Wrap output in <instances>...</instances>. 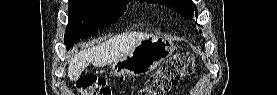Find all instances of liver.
I'll return each mask as SVG.
<instances>
[{
  "instance_id": "6515ba94",
  "label": "liver",
  "mask_w": 277,
  "mask_h": 95,
  "mask_svg": "<svg viewBox=\"0 0 277 95\" xmlns=\"http://www.w3.org/2000/svg\"><path fill=\"white\" fill-rule=\"evenodd\" d=\"M152 37L142 32L123 33L76 53L69 61L68 77L77 80L87 66L104 67L118 61L140 41Z\"/></svg>"
}]
</instances>
